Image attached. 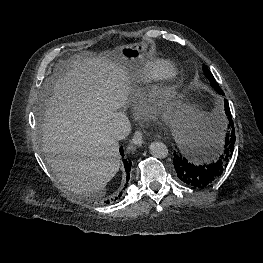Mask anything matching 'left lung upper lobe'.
Instances as JSON below:
<instances>
[{"mask_svg":"<svg viewBox=\"0 0 263 263\" xmlns=\"http://www.w3.org/2000/svg\"><path fill=\"white\" fill-rule=\"evenodd\" d=\"M203 72L204 75L206 76V78L208 80H210V84L211 86L217 91V92H221V88L219 87L218 83L216 82L215 78L213 77V75L211 74V72L208 70V68L206 67V65H203Z\"/></svg>","mask_w":263,"mask_h":263,"instance_id":"1","label":"left lung upper lobe"}]
</instances>
